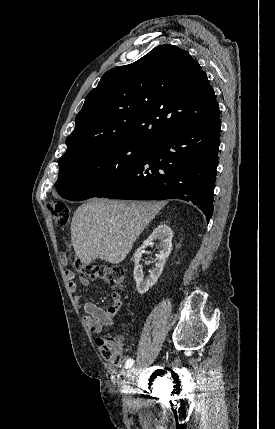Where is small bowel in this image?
Returning <instances> with one entry per match:
<instances>
[{
    "label": "small bowel",
    "instance_id": "small-bowel-1",
    "mask_svg": "<svg viewBox=\"0 0 275 429\" xmlns=\"http://www.w3.org/2000/svg\"><path fill=\"white\" fill-rule=\"evenodd\" d=\"M65 276L70 290L73 292L76 291L77 284L75 280V274L70 270H66ZM80 281L83 285L89 284L87 279L81 278ZM111 298L112 304L106 309L99 307L93 302L83 301L82 305L85 312L83 321L91 332L97 334L102 333L106 327L113 325L114 320L122 306V299L118 292H113L111 294ZM78 300H83L82 295L78 296Z\"/></svg>",
    "mask_w": 275,
    "mask_h": 429
}]
</instances>
